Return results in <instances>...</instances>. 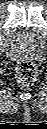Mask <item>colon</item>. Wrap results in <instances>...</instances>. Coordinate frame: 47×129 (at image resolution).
I'll return each instance as SVG.
<instances>
[{
  "label": "colon",
  "instance_id": "colon-1",
  "mask_svg": "<svg viewBox=\"0 0 47 129\" xmlns=\"http://www.w3.org/2000/svg\"><path fill=\"white\" fill-rule=\"evenodd\" d=\"M18 82L23 86L30 85L36 78V66L30 61H23L18 66Z\"/></svg>",
  "mask_w": 47,
  "mask_h": 129
}]
</instances>
